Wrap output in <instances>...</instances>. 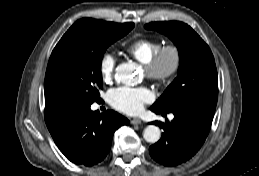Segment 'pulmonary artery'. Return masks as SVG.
Wrapping results in <instances>:
<instances>
[{"label": "pulmonary artery", "instance_id": "1", "mask_svg": "<svg viewBox=\"0 0 259 176\" xmlns=\"http://www.w3.org/2000/svg\"><path fill=\"white\" fill-rule=\"evenodd\" d=\"M173 117H174L173 115H170V116H169L170 119H173Z\"/></svg>", "mask_w": 259, "mask_h": 176}]
</instances>
